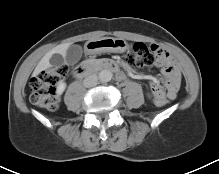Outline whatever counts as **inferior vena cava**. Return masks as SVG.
<instances>
[{
	"label": "inferior vena cava",
	"mask_w": 219,
	"mask_h": 174,
	"mask_svg": "<svg viewBox=\"0 0 219 174\" xmlns=\"http://www.w3.org/2000/svg\"><path fill=\"white\" fill-rule=\"evenodd\" d=\"M98 82V77L95 74L89 75L87 76L84 80H83V85L87 88L90 87H94L97 85Z\"/></svg>",
	"instance_id": "1"
}]
</instances>
